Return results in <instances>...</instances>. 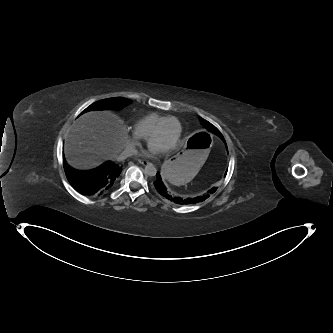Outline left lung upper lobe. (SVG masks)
Returning <instances> with one entry per match:
<instances>
[{
  "mask_svg": "<svg viewBox=\"0 0 333 333\" xmlns=\"http://www.w3.org/2000/svg\"><path fill=\"white\" fill-rule=\"evenodd\" d=\"M200 120H201V123L204 125V127L208 131H210V132H212V133H214V134H216L218 136H221V133L219 132V130L215 126H213L211 123H209L208 121H206V120H204L202 118H200Z\"/></svg>",
  "mask_w": 333,
  "mask_h": 333,
  "instance_id": "left-lung-upper-lobe-1",
  "label": "left lung upper lobe"
}]
</instances>
